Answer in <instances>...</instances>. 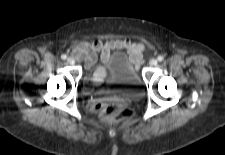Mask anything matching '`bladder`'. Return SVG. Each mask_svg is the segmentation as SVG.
I'll use <instances>...</instances> for the list:
<instances>
[{
    "label": "bladder",
    "instance_id": "31cf9c89",
    "mask_svg": "<svg viewBox=\"0 0 225 155\" xmlns=\"http://www.w3.org/2000/svg\"><path fill=\"white\" fill-rule=\"evenodd\" d=\"M106 69L129 93L138 94L142 91L140 75L125 53L117 51L111 54L106 63Z\"/></svg>",
    "mask_w": 225,
    "mask_h": 155
}]
</instances>
